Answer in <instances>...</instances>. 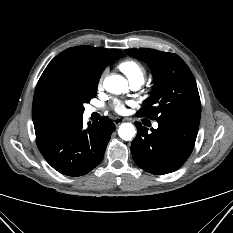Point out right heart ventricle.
I'll use <instances>...</instances> for the list:
<instances>
[{"label":"right heart ventricle","mask_w":233,"mask_h":233,"mask_svg":"<svg viewBox=\"0 0 233 233\" xmlns=\"http://www.w3.org/2000/svg\"><path fill=\"white\" fill-rule=\"evenodd\" d=\"M118 68L126 75L130 83L141 81L146 76V68L140 62L126 59L119 63Z\"/></svg>","instance_id":"right-heart-ventricle-1"}]
</instances>
